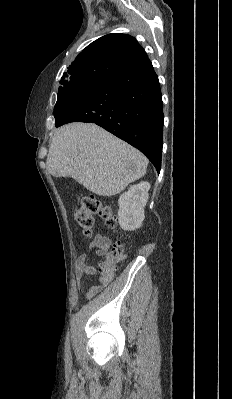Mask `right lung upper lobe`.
<instances>
[{"instance_id": "cb5924a9", "label": "right lung upper lobe", "mask_w": 232, "mask_h": 399, "mask_svg": "<svg viewBox=\"0 0 232 399\" xmlns=\"http://www.w3.org/2000/svg\"><path fill=\"white\" fill-rule=\"evenodd\" d=\"M148 59L144 49L130 35L113 33L88 45L72 62L60 80L62 86L79 78L107 79Z\"/></svg>"}]
</instances>
